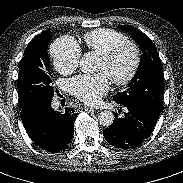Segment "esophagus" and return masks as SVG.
Listing matches in <instances>:
<instances>
[{
  "mask_svg": "<svg viewBox=\"0 0 183 183\" xmlns=\"http://www.w3.org/2000/svg\"><path fill=\"white\" fill-rule=\"evenodd\" d=\"M81 109H84V110H86V111H95L94 108L87 107V106H82Z\"/></svg>",
  "mask_w": 183,
  "mask_h": 183,
  "instance_id": "1",
  "label": "esophagus"
}]
</instances>
